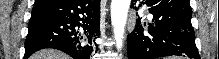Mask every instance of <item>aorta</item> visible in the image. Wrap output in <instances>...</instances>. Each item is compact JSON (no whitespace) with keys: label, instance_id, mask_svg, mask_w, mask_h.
Listing matches in <instances>:
<instances>
[{"label":"aorta","instance_id":"obj_1","mask_svg":"<svg viewBox=\"0 0 219 59\" xmlns=\"http://www.w3.org/2000/svg\"><path fill=\"white\" fill-rule=\"evenodd\" d=\"M130 3L131 0H112L111 2V22L118 51L121 50L123 46V38Z\"/></svg>","mask_w":219,"mask_h":59}]
</instances>
